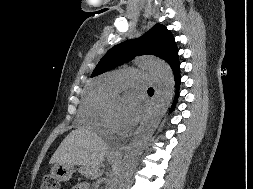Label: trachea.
Wrapping results in <instances>:
<instances>
[{"instance_id": "obj_1", "label": "trachea", "mask_w": 253, "mask_h": 189, "mask_svg": "<svg viewBox=\"0 0 253 189\" xmlns=\"http://www.w3.org/2000/svg\"><path fill=\"white\" fill-rule=\"evenodd\" d=\"M148 91L154 92V89L153 88H149Z\"/></svg>"}]
</instances>
